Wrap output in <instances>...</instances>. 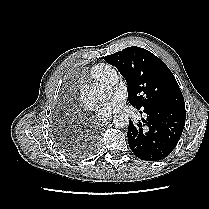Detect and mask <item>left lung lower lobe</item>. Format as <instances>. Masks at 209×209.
I'll use <instances>...</instances> for the list:
<instances>
[{"mask_svg": "<svg viewBox=\"0 0 209 209\" xmlns=\"http://www.w3.org/2000/svg\"><path fill=\"white\" fill-rule=\"evenodd\" d=\"M143 112L147 114L143 123L129 121L128 144L141 160H162L176 147L185 125L186 112L167 106L143 109Z\"/></svg>", "mask_w": 209, "mask_h": 209, "instance_id": "obj_1", "label": "left lung lower lobe"}]
</instances>
